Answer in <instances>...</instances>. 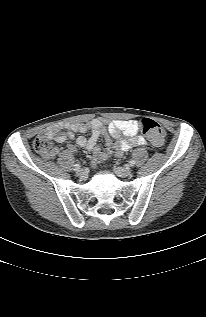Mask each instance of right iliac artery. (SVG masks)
<instances>
[{
	"mask_svg": "<svg viewBox=\"0 0 206 317\" xmlns=\"http://www.w3.org/2000/svg\"><path fill=\"white\" fill-rule=\"evenodd\" d=\"M73 168H74L75 171H77V170H79L81 168V165L80 164H75Z\"/></svg>",
	"mask_w": 206,
	"mask_h": 317,
	"instance_id": "obj_1",
	"label": "right iliac artery"
}]
</instances>
